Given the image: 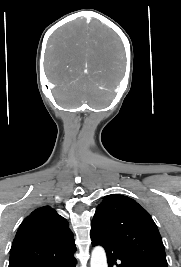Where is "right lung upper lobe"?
Returning <instances> with one entry per match:
<instances>
[{"mask_svg":"<svg viewBox=\"0 0 181 267\" xmlns=\"http://www.w3.org/2000/svg\"><path fill=\"white\" fill-rule=\"evenodd\" d=\"M76 250L65 218L49 206L24 219L14 238L9 265L23 261H47Z\"/></svg>","mask_w":181,"mask_h":267,"instance_id":"cb5924a9","label":"right lung upper lobe"}]
</instances>
